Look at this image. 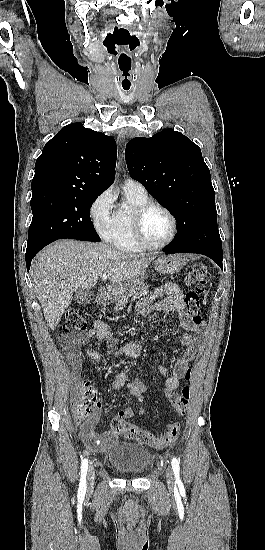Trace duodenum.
I'll return each mask as SVG.
<instances>
[{"label": "duodenum", "mask_w": 265, "mask_h": 550, "mask_svg": "<svg viewBox=\"0 0 265 550\" xmlns=\"http://www.w3.org/2000/svg\"><path fill=\"white\" fill-rule=\"evenodd\" d=\"M109 294H110V291H99L96 298L97 302L99 304L106 303L109 299Z\"/></svg>", "instance_id": "duodenum-1"}]
</instances>
